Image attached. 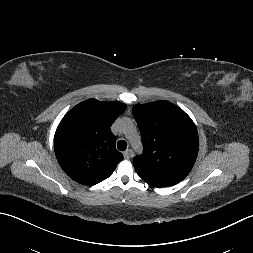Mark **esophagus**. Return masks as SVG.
<instances>
[{
    "mask_svg": "<svg viewBox=\"0 0 253 253\" xmlns=\"http://www.w3.org/2000/svg\"><path fill=\"white\" fill-rule=\"evenodd\" d=\"M132 155V151L130 149L126 150L124 153H123V156L126 160L130 159Z\"/></svg>",
    "mask_w": 253,
    "mask_h": 253,
    "instance_id": "obj_1",
    "label": "esophagus"
}]
</instances>
